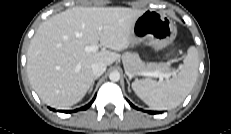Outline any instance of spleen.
<instances>
[{"mask_svg": "<svg viewBox=\"0 0 231 134\" xmlns=\"http://www.w3.org/2000/svg\"><path fill=\"white\" fill-rule=\"evenodd\" d=\"M198 67V50L191 46L177 75L165 81L136 80L132 89L150 108L169 110L181 104L190 93L198 77Z\"/></svg>", "mask_w": 231, "mask_h": 134, "instance_id": "obj_1", "label": "spleen"}]
</instances>
